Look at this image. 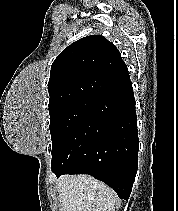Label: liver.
I'll return each instance as SVG.
<instances>
[{
    "mask_svg": "<svg viewBox=\"0 0 178 211\" xmlns=\"http://www.w3.org/2000/svg\"><path fill=\"white\" fill-rule=\"evenodd\" d=\"M61 211H114L117 196L103 182L87 175H63L57 180Z\"/></svg>",
    "mask_w": 178,
    "mask_h": 211,
    "instance_id": "liver-1",
    "label": "liver"
}]
</instances>
